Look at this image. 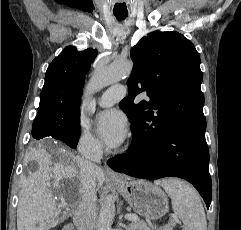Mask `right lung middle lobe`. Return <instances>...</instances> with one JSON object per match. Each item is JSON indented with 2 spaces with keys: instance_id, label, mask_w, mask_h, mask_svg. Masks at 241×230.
I'll use <instances>...</instances> for the list:
<instances>
[{
  "instance_id": "obj_1",
  "label": "right lung middle lobe",
  "mask_w": 241,
  "mask_h": 230,
  "mask_svg": "<svg viewBox=\"0 0 241 230\" xmlns=\"http://www.w3.org/2000/svg\"><path fill=\"white\" fill-rule=\"evenodd\" d=\"M80 136V109L60 108L38 112L32 128V137L40 140L53 137L68 146L77 144Z\"/></svg>"
}]
</instances>
